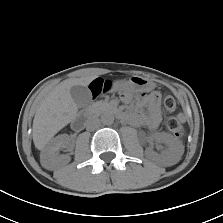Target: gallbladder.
Segmentation results:
<instances>
[{
	"label": "gallbladder",
	"instance_id": "gallbladder-1",
	"mask_svg": "<svg viewBox=\"0 0 223 223\" xmlns=\"http://www.w3.org/2000/svg\"><path fill=\"white\" fill-rule=\"evenodd\" d=\"M70 94L79 107H85L91 102V92L86 86L75 85L70 89Z\"/></svg>",
	"mask_w": 223,
	"mask_h": 223
}]
</instances>
